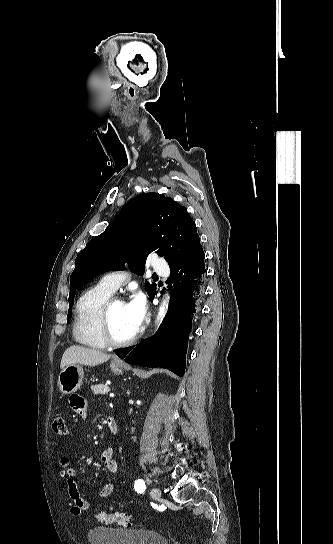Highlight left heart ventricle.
Segmentation results:
<instances>
[{
  "label": "left heart ventricle",
  "instance_id": "1",
  "mask_svg": "<svg viewBox=\"0 0 333 544\" xmlns=\"http://www.w3.org/2000/svg\"><path fill=\"white\" fill-rule=\"evenodd\" d=\"M110 324L113 335L117 339L129 338L137 331L131 323L126 304L123 302H117L112 307Z\"/></svg>",
  "mask_w": 333,
  "mask_h": 544
}]
</instances>
